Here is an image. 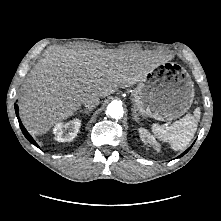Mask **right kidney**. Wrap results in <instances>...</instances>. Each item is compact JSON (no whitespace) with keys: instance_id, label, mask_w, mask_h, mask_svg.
Wrapping results in <instances>:
<instances>
[{"instance_id":"1","label":"right kidney","mask_w":221,"mask_h":221,"mask_svg":"<svg viewBox=\"0 0 221 221\" xmlns=\"http://www.w3.org/2000/svg\"><path fill=\"white\" fill-rule=\"evenodd\" d=\"M81 120L73 119L66 123H57L53 128L55 140L58 142H70L78 134Z\"/></svg>"}]
</instances>
